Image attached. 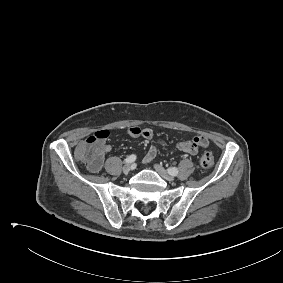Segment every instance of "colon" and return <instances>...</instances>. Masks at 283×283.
Returning a JSON list of instances; mask_svg holds the SVG:
<instances>
[{
	"label": "colon",
	"mask_w": 283,
	"mask_h": 283,
	"mask_svg": "<svg viewBox=\"0 0 283 283\" xmlns=\"http://www.w3.org/2000/svg\"><path fill=\"white\" fill-rule=\"evenodd\" d=\"M108 137V132L105 130L98 131L88 136L76 148V157L84 162L92 170H97L102 161V146L103 140ZM214 155L206 151L200 158V164L203 168H210L214 165Z\"/></svg>",
	"instance_id": "obj_1"
}]
</instances>
